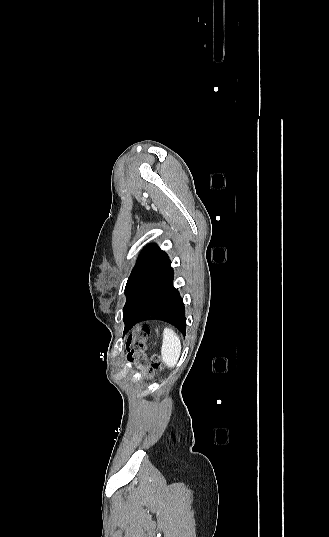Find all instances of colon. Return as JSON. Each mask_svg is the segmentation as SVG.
<instances>
[{
	"instance_id": "obj_1",
	"label": "colon",
	"mask_w": 329,
	"mask_h": 537,
	"mask_svg": "<svg viewBox=\"0 0 329 537\" xmlns=\"http://www.w3.org/2000/svg\"><path fill=\"white\" fill-rule=\"evenodd\" d=\"M147 331L140 329L135 331L127 342V362L139 369H144L147 363L153 370L161 367V359L153 354L149 358L145 354Z\"/></svg>"
}]
</instances>
